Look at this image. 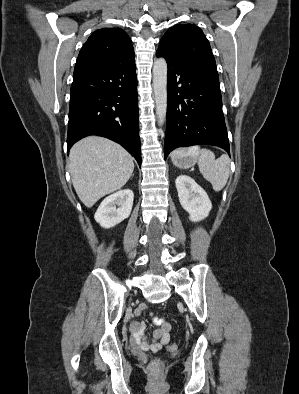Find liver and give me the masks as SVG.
<instances>
[{
  "instance_id": "6515ba94",
  "label": "liver",
  "mask_w": 299,
  "mask_h": 394,
  "mask_svg": "<svg viewBox=\"0 0 299 394\" xmlns=\"http://www.w3.org/2000/svg\"><path fill=\"white\" fill-rule=\"evenodd\" d=\"M134 170L132 156L119 144L98 136L86 137L70 150L69 172L86 207L121 189Z\"/></svg>"
}]
</instances>
